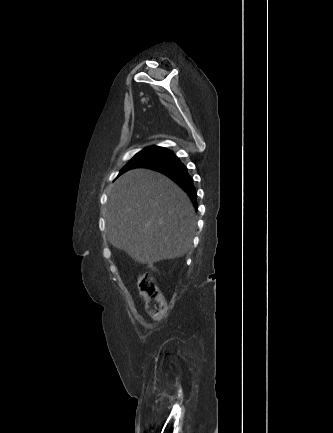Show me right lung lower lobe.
Listing matches in <instances>:
<instances>
[{"mask_svg":"<svg viewBox=\"0 0 333 433\" xmlns=\"http://www.w3.org/2000/svg\"><path fill=\"white\" fill-rule=\"evenodd\" d=\"M141 167L154 169L165 174L188 193L194 207L197 209V197L193 180L189 175L187 168L173 152L155 161L143 164Z\"/></svg>","mask_w":333,"mask_h":433,"instance_id":"1","label":"right lung lower lobe"}]
</instances>
